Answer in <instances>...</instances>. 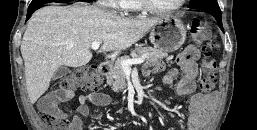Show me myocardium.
<instances>
[{
	"label": "myocardium",
	"instance_id": "myocardium-1",
	"mask_svg": "<svg viewBox=\"0 0 257 130\" xmlns=\"http://www.w3.org/2000/svg\"><path fill=\"white\" fill-rule=\"evenodd\" d=\"M186 0H179L174 6L170 8H157L153 6L149 0H137L139 7L141 10L146 11L151 14H158V15H167L172 14L178 11L182 6L185 4Z\"/></svg>",
	"mask_w": 257,
	"mask_h": 130
}]
</instances>
